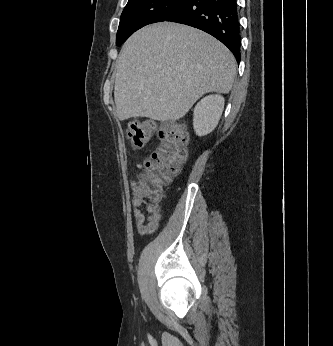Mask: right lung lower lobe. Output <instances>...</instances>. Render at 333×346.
<instances>
[{"instance_id": "obj_1", "label": "right lung lower lobe", "mask_w": 333, "mask_h": 346, "mask_svg": "<svg viewBox=\"0 0 333 346\" xmlns=\"http://www.w3.org/2000/svg\"><path fill=\"white\" fill-rule=\"evenodd\" d=\"M164 21L189 25L220 40L239 62L240 24L236 0H184Z\"/></svg>"}]
</instances>
